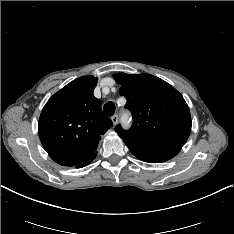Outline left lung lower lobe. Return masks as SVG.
<instances>
[{"label":"left lung lower lobe","mask_w":234,"mask_h":234,"mask_svg":"<svg viewBox=\"0 0 234 234\" xmlns=\"http://www.w3.org/2000/svg\"><path fill=\"white\" fill-rule=\"evenodd\" d=\"M133 155L148 163H159L173 158L179 150L176 149H151L126 144Z\"/></svg>","instance_id":"obj_1"}]
</instances>
